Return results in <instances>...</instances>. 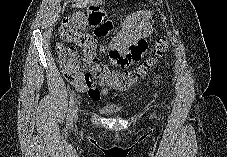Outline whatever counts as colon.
Masks as SVG:
<instances>
[{"instance_id": "5ec220e1", "label": "colon", "mask_w": 227, "mask_h": 157, "mask_svg": "<svg viewBox=\"0 0 227 157\" xmlns=\"http://www.w3.org/2000/svg\"><path fill=\"white\" fill-rule=\"evenodd\" d=\"M90 16H103L98 10L91 7ZM105 32L89 33L76 29L68 19L61 22L59 34L65 41L79 46L82 50L79 55L73 46L57 44V58L65 78L73 85L78 81L80 65L85 70V79L92 85H108L118 90H126L135 78L145 75L155 64L158 58L162 57L168 49V40L160 38L157 40L152 56L140 63L133 73L115 72L100 62L96 57L98 48V36ZM131 63V62H129Z\"/></svg>"}]
</instances>
